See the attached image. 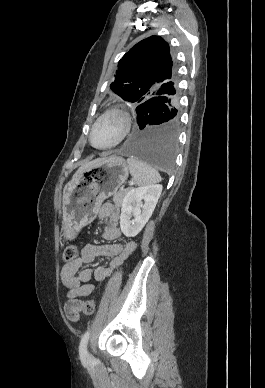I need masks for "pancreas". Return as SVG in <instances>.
Masks as SVG:
<instances>
[{
    "mask_svg": "<svg viewBox=\"0 0 265 388\" xmlns=\"http://www.w3.org/2000/svg\"><path fill=\"white\" fill-rule=\"evenodd\" d=\"M130 188H126V190H120V192H117L113 198V202H115L116 206H121L122 200L124 196H126L127 192H129Z\"/></svg>",
    "mask_w": 265,
    "mask_h": 388,
    "instance_id": "obj_1",
    "label": "pancreas"
}]
</instances>
